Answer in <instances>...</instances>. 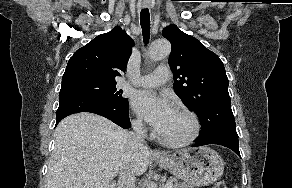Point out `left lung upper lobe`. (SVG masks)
Listing matches in <instances>:
<instances>
[{"mask_svg": "<svg viewBox=\"0 0 292 188\" xmlns=\"http://www.w3.org/2000/svg\"><path fill=\"white\" fill-rule=\"evenodd\" d=\"M172 45L169 66L175 75V93L198 115L201 132L235 121L228 78L220 58L175 24L164 28Z\"/></svg>", "mask_w": 292, "mask_h": 188, "instance_id": "left-lung-upper-lobe-1", "label": "left lung upper lobe"}]
</instances>
